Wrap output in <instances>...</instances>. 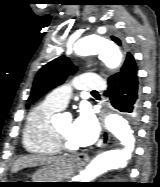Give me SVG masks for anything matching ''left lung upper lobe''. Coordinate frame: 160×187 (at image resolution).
Returning <instances> with one entry per match:
<instances>
[{"mask_svg": "<svg viewBox=\"0 0 160 187\" xmlns=\"http://www.w3.org/2000/svg\"><path fill=\"white\" fill-rule=\"evenodd\" d=\"M111 38L118 45H121V40L119 38L114 36H111ZM129 55L132 54L126 52L124 55L125 59ZM75 71L76 67H74L70 60L65 56L58 57L44 65L35 77L31 95L28 99L29 104L34 103L47 91L62 84L65 78ZM29 104H27V107H29Z\"/></svg>", "mask_w": 160, "mask_h": 187, "instance_id": "obj_1", "label": "left lung upper lobe"}]
</instances>
